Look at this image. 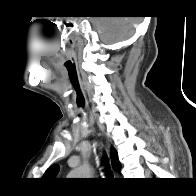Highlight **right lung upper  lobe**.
<instances>
[{"label":"right lung upper lobe","mask_w":196,"mask_h":196,"mask_svg":"<svg viewBox=\"0 0 196 196\" xmlns=\"http://www.w3.org/2000/svg\"><path fill=\"white\" fill-rule=\"evenodd\" d=\"M111 158H112V164H113L114 169L115 170H120L121 164L118 160V154H117V151L115 149H112ZM58 170H59L58 165L51 166L50 168H48L46 170L45 174L43 175V178H45V179H54Z\"/></svg>","instance_id":"obj_1"}]
</instances>
